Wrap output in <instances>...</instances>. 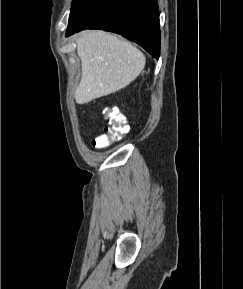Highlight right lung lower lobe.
<instances>
[{"label":"right lung lower lobe","instance_id":"98d812e1","mask_svg":"<svg viewBox=\"0 0 243 289\" xmlns=\"http://www.w3.org/2000/svg\"><path fill=\"white\" fill-rule=\"evenodd\" d=\"M85 29L118 33L159 58L157 0H81L70 14L66 36Z\"/></svg>","mask_w":243,"mask_h":289}]
</instances>
